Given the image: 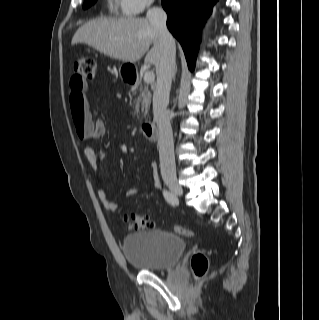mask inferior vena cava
Returning <instances> with one entry per match:
<instances>
[{"label":"inferior vena cava","mask_w":319,"mask_h":320,"mask_svg":"<svg viewBox=\"0 0 319 320\" xmlns=\"http://www.w3.org/2000/svg\"><path fill=\"white\" fill-rule=\"evenodd\" d=\"M147 19L156 30L162 49L160 64L156 71L157 83L153 93V115L159 131L160 169L163 176H175L173 134L170 119L166 111L169 103L171 81L175 73V41L167 29V15L162 8H149Z\"/></svg>","instance_id":"602c4592"}]
</instances>
